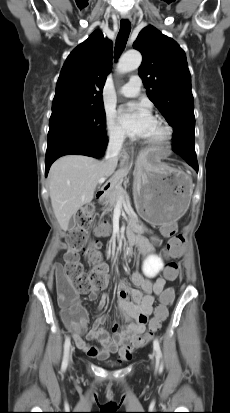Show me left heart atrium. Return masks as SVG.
I'll return each mask as SVG.
<instances>
[{"mask_svg":"<svg viewBox=\"0 0 230 413\" xmlns=\"http://www.w3.org/2000/svg\"><path fill=\"white\" fill-rule=\"evenodd\" d=\"M119 121L128 133L138 137H145L155 122L149 107L137 102L121 107Z\"/></svg>","mask_w":230,"mask_h":413,"instance_id":"left-heart-atrium-1","label":"left heart atrium"}]
</instances>
